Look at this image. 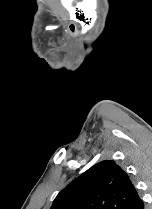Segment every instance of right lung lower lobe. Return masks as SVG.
Wrapping results in <instances>:
<instances>
[{"mask_svg":"<svg viewBox=\"0 0 152 209\" xmlns=\"http://www.w3.org/2000/svg\"><path fill=\"white\" fill-rule=\"evenodd\" d=\"M126 209H144V203L139 197L138 193L130 205L126 207Z\"/></svg>","mask_w":152,"mask_h":209,"instance_id":"right-lung-lower-lobe-1","label":"right lung lower lobe"}]
</instances>
